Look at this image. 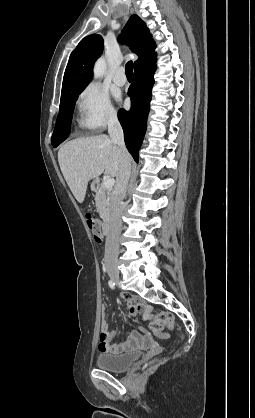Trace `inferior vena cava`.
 I'll return each mask as SVG.
<instances>
[{
    "label": "inferior vena cava",
    "instance_id": "inferior-vena-cava-1",
    "mask_svg": "<svg viewBox=\"0 0 255 418\" xmlns=\"http://www.w3.org/2000/svg\"><path fill=\"white\" fill-rule=\"evenodd\" d=\"M108 133L113 143L120 151V164L116 177V184L111 194V208L108 224V232L105 242V261H116L119 254V235L121 232L122 200L126 193L130 173L131 162L129 153L125 147L123 130L116 114H110L108 119Z\"/></svg>",
    "mask_w": 255,
    "mask_h": 418
}]
</instances>
